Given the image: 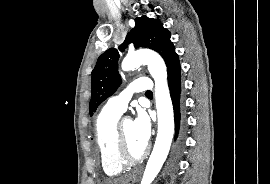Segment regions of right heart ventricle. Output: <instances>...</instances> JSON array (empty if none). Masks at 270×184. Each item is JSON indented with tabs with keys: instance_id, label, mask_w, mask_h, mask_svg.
Instances as JSON below:
<instances>
[{
	"instance_id": "obj_1",
	"label": "right heart ventricle",
	"mask_w": 270,
	"mask_h": 184,
	"mask_svg": "<svg viewBox=\"0 0 270 184\" xmlns=\"http://www.w3.org/2000/svg\"><path fill=\"white\" fill-rule=\"evenodd\" d=\"M120 115L121 113L105 106L97 116L95 124V136L101 166L108 176H116L126 167L117 160L115 152V129Z\"/></svg>"
}]
</instances>
